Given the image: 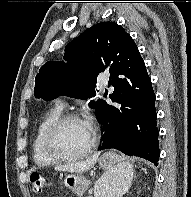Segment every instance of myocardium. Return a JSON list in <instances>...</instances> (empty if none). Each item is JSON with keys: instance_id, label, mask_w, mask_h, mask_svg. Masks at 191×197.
<instances>
[{"instance_id": "f54148a6", "label": "myocardium", "mask_w": 191, "mask_h": 197, "mask_svg": "<svg viewBox=\"0 0 191 197\" xmlns=\"http://www.w3.org/2000/svg\"><path fill=\"white\" fill-rule=\"evenodd\" d=\"M70 121H82V118L74 113L64 114L55 119L46 129L43 136V147L45 152L54 160L60 162L76 161L87 156L97 145L95 134L92 135V140L89 145L79 154L68 155L63 153L56 144V135L60 128Z\"/></svg>"}]
</instances>
